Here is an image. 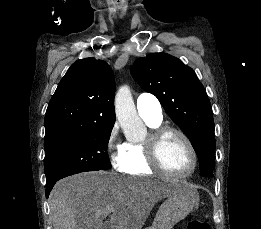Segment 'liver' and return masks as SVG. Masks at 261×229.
<instances>
[{
    "instance_id": "1",
    "label": "liver",
    "mask_w": 261,
    "mask_h": 229,
    "mask_svg": "<svg viewBox=\"0 0 261 229\" xmlns=\"http://www.w3.org/2000/svg\"><path fill=\"white\" fill-rule=\"evenodd\" d=\"M173 193V185L161 181L107 171L79 173L53 187L51 219L54 229H142L155 203Z\"/></svg>"
}]
</instances>
